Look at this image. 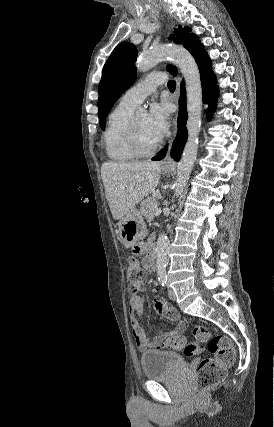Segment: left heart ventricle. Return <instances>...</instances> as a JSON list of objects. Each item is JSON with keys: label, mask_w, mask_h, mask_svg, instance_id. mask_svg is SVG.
I'll use <instances>...</instances> for the list:
<instances>
[{"label": "left heart ventricle", "mask_w": 274, "mask_h": 427, "mask_svg": "<svg viewBox=\"0 0 274 427\" xmlns=\"http://www.w3.org/2000/svg\"><path fill=\"white\" fill-rule=\"evenodd\" d=\"M136 125H137L140 147L143 150L151 149L161 140L153 136L149 131L148 125H147L146 113L136 116Z\"/></svg>", "instance_id": "1"}]
</instances>
